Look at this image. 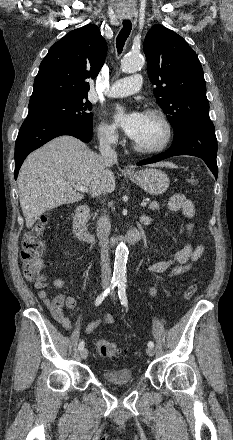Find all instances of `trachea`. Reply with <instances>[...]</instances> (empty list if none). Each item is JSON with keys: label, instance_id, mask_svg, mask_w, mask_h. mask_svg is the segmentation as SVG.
<instances>
[{"label": "trachea", "instance_id": "1", "mask_svg": "<svg viewBox=\"0 0 233 440\" xmlns=\"http://www.w3.org/2000/svg\"><path fill=\"white\" fill-rule=\"evenodd\" d=\"M131 29H132L131 21L130 20H124L123 21V28L119 32V34L117 36V39H116V46H117V50H118L119 54L123 50L124 44H125L127 38L130 35Z\"/></svg>", "mask_w": 233, "mask_h": 440}]
</instances>
